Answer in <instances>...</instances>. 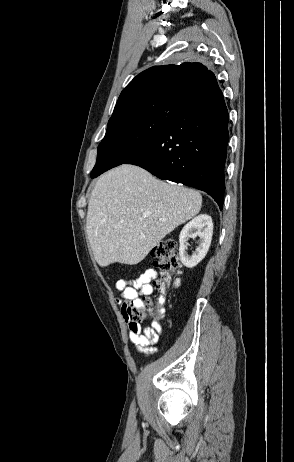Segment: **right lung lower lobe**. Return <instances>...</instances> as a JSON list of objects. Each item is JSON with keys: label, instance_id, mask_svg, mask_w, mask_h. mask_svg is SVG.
I'll list each match as a JSON object with an SVG mask.
<instances>
[{"label": "right lung lower lobe", "instance_id": "obj_1", "mask_svg": "<svg viewBox=\"0 0 294 462\" xmlns=\"http://www.w3.org/2000/svg\"><path fill=\"white\" fill-rule=\"evenodd\" d=\"M186 104L156 136L124 163L153 175L207 192L224 202V166L229 114L217 82L197 94H185ZM98 174H92L95 178Z\"/></svg>", "mask_w": 294, "mask_h": 462}]
</instances>
